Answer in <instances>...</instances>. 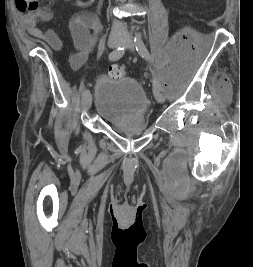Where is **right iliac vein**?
<instances>
[{"instance_id":"right-iliac-vein-1","label":"right iliac vein","mask_w":253,"mask_h":267,"mask_svg":"<svg viewBox=\"0 0 253 267\" xmlns=\"http://www.w3.org/2000/svg\"><path fill=\"white\" fill-rule=\"evenodd\" d=\"M122 42V39L119 37H114L111 38L108 41V47L111 49L117 48ZM92 104V96L88 94L87 96L84 97V104H83V109L84 110H89Z\"/></svg>"}]
</instances>
